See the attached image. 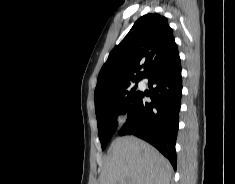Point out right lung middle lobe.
Returning a JSON list of instances; mask_svg holds the SVG:
<instances>
[{"mask_svg": "<svg viewBox=\"0 0 235 184\" xmlns=\"http://www.w3.org/2000/svg\"><path fill=\"white\" fill-rule=\"evenodd\" d=\"M139 81V80H138ZM114 87L110 89V104L100 107H95L98 135L101 142L102 150L105 149L111 137L116 130V116L127 112L131 103L138 96L137 82Z\"/></svg>", "mask_w": 235, "mask_h": 184, "instance_id": "dd1d6c3e", "label": "right lung middle lobe"}]
</instances>
